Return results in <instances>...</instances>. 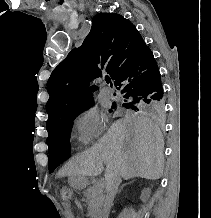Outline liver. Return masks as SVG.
I'll return each mask as SVG.
<instances>
[{"instance_id":"liver-1","label":"liver","mask_w":211,"mask_h":218,"mask_svg":"<svg viewBox=\"0 0 211 218\" xmlns=\"http://www.w3.org/2000/svg\"><path fill=\"white\" fill-rule=\"evenodd\" d=\"M163 138L159 128L152 126L148 118L125 116L112 124L107 134L100 138L92 150L77 154L63 168L70 176H94L101 174L103 164L106 172L130 178L158 180L163 172Z\"/></svg>"}]
</instances>
